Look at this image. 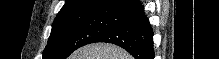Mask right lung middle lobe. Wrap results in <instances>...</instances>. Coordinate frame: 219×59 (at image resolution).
<instances>
[{
	"label": "right lung middle lobe",
	"instance_id": "dd1d6c3e",
	"mask_svg": "<svg viewBox=\"0 0 219 59\" xmlns=\"http://www.w3.org/2000/svg\"><path fill=\"white\" fill-rule=\"evenodd\" d=\"M125 16L113 10H91L56 18L43 59H66L76 49L93 43Z\"/></svg>",
	"mask_w": 219,
	"mask_h": 59
}]
</instances>
